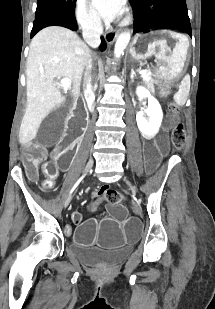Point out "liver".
I'll return each instance as SVG.
<instances>
[{"mask_svg": "<svg viewBox=\"0 0 215 309\" xmlns=\"http://www.w3.org/2000/svg\"><path fill=\"white\" fill-rule=\"evenodd\" d=\"M91 50L74 30L63 26L42 28L31 40L27 56V106L19 130V142L32 144L47 114L65 102L55 76L71 78L72 96L80 94L86 60Z\"/></svg>", "mask_w": 215, "mask_h": 309, "instance_id": "1", "label": "liver"}]
</instances>
